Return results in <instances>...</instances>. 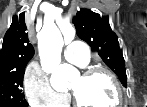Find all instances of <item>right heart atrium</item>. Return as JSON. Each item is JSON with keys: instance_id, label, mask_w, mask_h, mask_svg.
Instances as JSON below:
<instances>
[{"instance_id": "right-heart-atrium-1", "label": "right heart atrium", "mask_w": 147, "mask_h": 107, "mask_svg": "<svg viewBox=\"0 0 147 107\" xmlns=\"http://www.w3.org/2000/svg\"><path fill=\"white\" fill-rule=\"evenodd\" d=\"M24 91L28 103L34 107H59L68 97L51 86L47 74L35 64L28 66L24 73Z\"/></svg>"}]
</instances>
